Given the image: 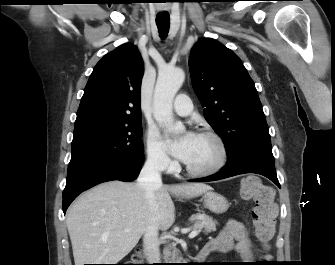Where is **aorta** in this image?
Masks as SVG:
<instances>
[{"instance_id":"1","label":"aorta","mask_w":335,"mask_h":265,"mask_svg":"<svg viewBox=\"0 0 335 265\" xmlns=\"http://www.w3.org/2000/svg\"><path fill=\"white\" fill-rule=\"evenodd\" d=\"M185 79L180 68H165L159 71L154 91V118L161 126L172 128L176 133L182 131V124H174L172 103Z\"/></svg>"}]
</instances>
